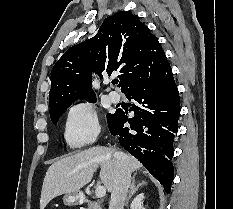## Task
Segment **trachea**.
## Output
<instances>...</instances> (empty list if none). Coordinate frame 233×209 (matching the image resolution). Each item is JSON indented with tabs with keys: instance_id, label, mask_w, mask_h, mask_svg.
<instances>
[{
	"instance_id": "trachea-1",
	"label": "trachea",
	"mask_w": 233,
	"mask_h": 209,
	"mask_svg": "<svg viewBox=\"0 0 233 209\" xmlns=\"http://www.w3.org/2000/svg\"><path fill=\"white\" fill-rule=\"evenodd\" d=\"M112 83H113V84H117V83H118V80H113Z\"/></svg>"
}]
</instances>
